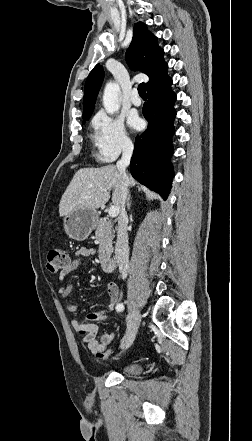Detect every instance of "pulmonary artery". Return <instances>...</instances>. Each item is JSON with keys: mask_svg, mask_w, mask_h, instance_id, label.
<instances>
[{"mask_svg": "<svg viewBox=\"0 0 252 441\" xmlns=\"http://www.w3.org/2000/svg\"><path fill=\"white\" fill-rule=\"evenodd\" d=\"M130 100L131 103L135 106H139L141 104V99L136 90H133Z\"/></svg>", "mask_w": 252, "mask_h": 441, "instance_id": "e3ab8cb5", "label": "pulmonary artery"}]
</instances>
